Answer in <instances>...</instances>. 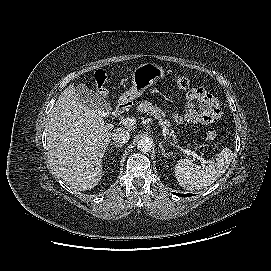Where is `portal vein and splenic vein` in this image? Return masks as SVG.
Returning a JSON list of instances; mask_svg holds the SVG:
<instances>
[{
    "mask_svg": "<svg viewBox=\"0 0 271 271\" xmlns=\"http://www.w3.org/2000/svg\"><path fill=\"white\" fill-rule=\"evenodd\" d=\"M122 123L125 125V126H133L135 123H136V118L134 117H127V118H124L122 120ZM164 135V134H163ZM165 136V135H164ZM166 138V137H165ZM175 145V144H173ZM177 148H179L183 153L187 154L188 156H192L193 158H196L198 159L202 165H205L207 163V161L205 159H203L202 157H200L198 154H196L194 151H191L189 149H184L178 145H176Z\"/></svg>",
    "mask_w": 271,
    "mask_h": 271,
    "instance_id": "obj_1",
    "label": "portal vein and splenic vein"
}]
</instances>
